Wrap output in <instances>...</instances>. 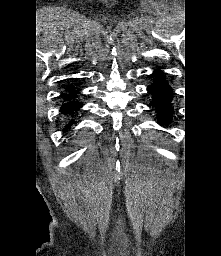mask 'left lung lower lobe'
Here are the masks:
<instances>
[{
  "label": "left lung lower lobe",
  "mask_w": 221,
  "mask_h": 256,
  "mask_svg": "<svg viewBox=\"0 0 221 256\" xmlns=\"http://www.w3.org/2000/svg\"><path fill=\"white\" fill-rule=\"evenodd\" d=\"M157 76V81H155L151 86L148 87V92L153 95L154 100L150 106L155 107L158 111V120L162 124L167 125L172 119L173 107L170 104L172 98V89L161 77V72L159 70L154 72Z\"/></svg>",
  "instance_id": "0a47b994"
}]
</instances>
